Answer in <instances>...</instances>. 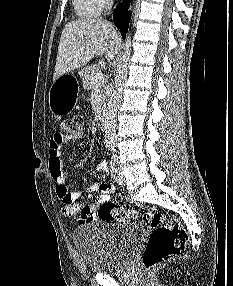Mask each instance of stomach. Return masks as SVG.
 <instances>
[{"mask_svg":"<svg viewBox=\"0 0 233 286\" xmlns=\"http://www.w3.org/2000/svg\"><path fill=\"white\" fill-rule=\"evenodd\" d=\"M64 76H60L53 82L48 95L50 111L56 117L70 113L77 99V90L68 84Z\"/></svg>","mask_w":233,"mask_h":286,"instance_id":"0dacf381","label":"stomach"}]
</instances>
